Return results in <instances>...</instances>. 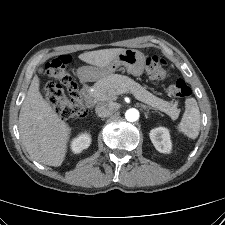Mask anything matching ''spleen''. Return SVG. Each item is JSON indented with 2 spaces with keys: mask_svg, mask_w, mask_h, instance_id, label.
I'll list each match as a JSON object with an SVG mask.
<instances>
[{
  "mask_svg": "<svg viewBox=\"0 0 225 225\" xmlns=\"http://www.w3.org/2000/svg\"><path fill=\"white\" fill-rule=\"evenodd\" d=\"M201 126V115L195 98L191 97L185 101V112L181 122L177 125L179 132L191 139H196Z\"/></svg>",
  "mask_w": 225,
  "mask_h": 225,
  "instance_id": "spleen-1",
  "label": "spleen"
}]
</instances>
